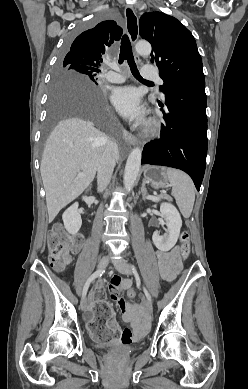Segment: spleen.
I'll use <instances>...</instances> for the list:
<instances>
[{
    "label": "spleen",
    "instance_id": "1",
    "mask_svg": "<svg viewBox=\"0 0 248 389\" xmlns=\"http://www.w3.org/2000/svg\"><path fill=\"white\" fill-rule=\"evenodd\" d=\"M166 174L181 214L184 218H189L195 201L193 181L186 173L178 169L167 168Z\"/></svg>",
    "mask_w": 248,
    "mask_h": 389
}]
</instances>
